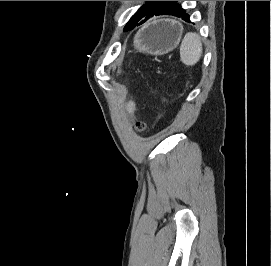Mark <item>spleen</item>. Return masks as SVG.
<instances>
[{"label": "spleen", "instance_id": "3e777b00", "mask_svg": "<svg viewBox=\"0 0 271 266\" xmlns=\"http://www.w3.org/2000/svg\"><path fill=\"white\" fill-rule=\"evenodd\" d=\"M202 52L203 48L199 35L188 32L180 46L181 61L187 66H193L200 60Z\"/></svg>", "mask_w": 271, "mask_h": 266}]
</instances>
